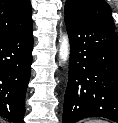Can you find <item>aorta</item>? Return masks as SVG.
I'll return each instance as SVG.
<instances>
[{
  "label": "aorta",
  "instance_id": "1",
  "mask_svg": "<svg viewBox=\"0 0 118 123\" xmlns=\"http://www.w3.org/2000/svg\"><path fill=\"white\" fill-rule=\"evenodd\" d=\"M59 42H60L59 59L60 62L65 63L67 62L70 53V44H69L68 36L67 35L61 36Z\"/></svg>",
  "mask_w": 118,
  "mask_h": 123
}]
</instances>
